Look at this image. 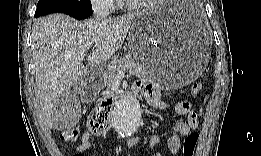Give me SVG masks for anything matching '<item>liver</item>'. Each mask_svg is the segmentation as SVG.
I'll list each match as a JSON object with an SVG mask.
<instances>
[{"label": "liver", "mask_w": 261, "mask_h": 156, "mask_svg": "<svg viewBox=\"0 0 261 156\" xmlns=\"http://www.w3.org/2000/svg\"><path fill=\"white\" fill-rule=\"evenodd\" d=\"M142 12L102 20L78 22L64 14H51L35 21L32 27V58L35 66V85L42 116L48 128L54 123L57 108L71 87L82 79L87 70L80 60L90 50L89 65H99L113 57L121 48L132 22ZM78 121L81 104L75 95Z\"/></svg>", "instance_id": "liver-1"}]
</instances>
